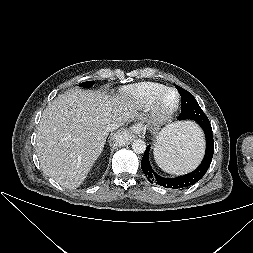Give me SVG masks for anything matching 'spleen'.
<instances>
[{
  "label": "spleen",
  "instance_id": "obj_1",
  "mask_svg": "<svg viewBox=\"0 0 253 253\" xmlns=\"http://www.w3.org/2000/svg\"><path fill=\"white\" fill-rule=\"evenodd\" d=\"M202 131L193 123L181 122L162 129L153 150L158 166L170 174H183L194 169L203 156Z\"/></svg>",
  "mask_w": 253,
  "mask_h": 253
}]
</instances>
